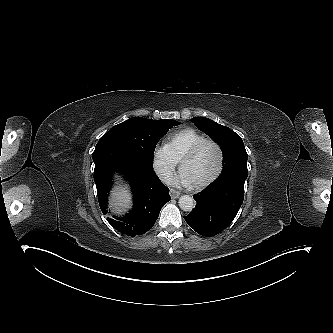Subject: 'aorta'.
<instances>
[{
  "label": "aorta",
  "instance_id": "obj_1",
  "mask_svg": "<svg viewBox=\"0 0 333 333\" xmlns=\"http://www.w3.org/2000/svg\"><path fill=\"white\" fill-rule=\"evenodd\" d=\"M179 207L183 210V211H191L194 206H195V201L192 197H190L189 195H183L179 198Z\"/></svg>",
  "mask_w": 333,
  "mask_h": 333
}]
</instances>
